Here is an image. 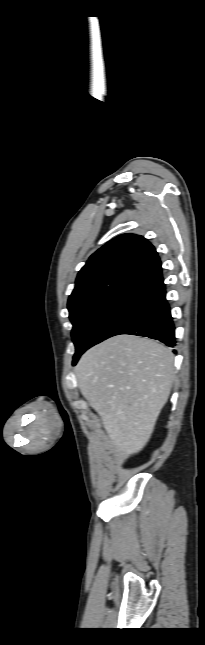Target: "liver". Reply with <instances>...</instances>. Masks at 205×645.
Instances as JSON below:
<instances>
[{
    "instance_id": "1",
    "label": "liver",
    "mask_w": 205,
    "mask_h": 645,
    "mask_svg": "<svg viewBox=\"0 0 205 645\" xmlns=\"http://www.w3.org/2000/svg\"><path fill=\"white\" fill-rule=\"evenodd\" d=\"M78 386L117 456L140 452L154 430L174 381L170 348L149 339L118 335L87 350L75 368Z\"/></svg>"
}]
</instances>
